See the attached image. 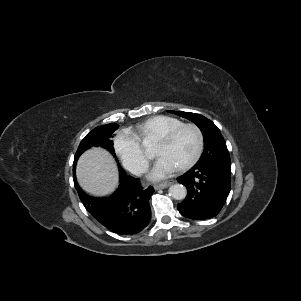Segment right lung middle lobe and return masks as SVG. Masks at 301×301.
Wrapping results in <instances>:
<instances>
[{
	"instance_id": "dd1d6c3e",
	"label": "right lung middle lobe",
	"mask_w": 301,
	"mask_h": 301,
	"mask_svg": "<svg viewBox=\"0 0 301 301\" xmlns=\"http://www.w3.org/2000/svg\"><path fill=\"white\" fill-rule=\"evenodd\" d=\"M118 125L111 123L108 125L99 126L89 132L81 141L74 158L73 166H76V162L79 156L87 149L93 146H101L109 150L114 156L115 151L113 148V141L111 140L112 134L117 130ZM116 157V156H115Z\"/></svg>"
}]
</instances>
